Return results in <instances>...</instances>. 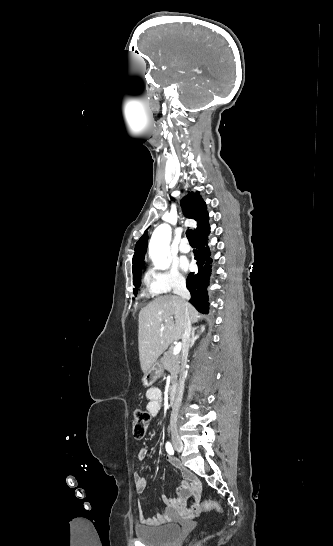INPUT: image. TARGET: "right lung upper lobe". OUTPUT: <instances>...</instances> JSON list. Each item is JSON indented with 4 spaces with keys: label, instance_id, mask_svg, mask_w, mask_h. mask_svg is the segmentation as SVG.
<instances>
[{
    "label": "right lung upper lobe",
    "instance_id": "obj_1",
    "mask_svg": "<svg viewBox=\"0 0 333 546\" xmlns=\"http://www.w3.org/2000/svg\"><path fill=\"white\" fill-rule=\"evenodd\" d=\"M183 214L190 219H194L197 222V228L194 230V236L203 232L208 226V212L207 206L200 196L199 192H190L188 196L183 198L180 203ZM148 233L144 232L135 246V254L133 257V281L134 278L139 275L141 269L144 267V257L147 249Z\"/></svg>",
    "mask_w": 333,
    "mask_h": 546
}]
</instances>
